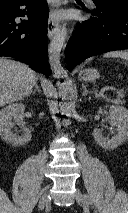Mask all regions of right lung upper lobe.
I'll return each instance as SVG.
<instances>
[{
    "label": "right lung upper lobe",
    "mask_w": 128,
    "mask_h": 213,
    "mask_svg": "<svg viewBox=\"0 0 128 213\" xmlns=\"http://www.w3.org/2000/svg\"><path fill=\"white\" fill-rule=\"evenodd\" d=\"M15 0H0V4H3V3H10V2H13Z\"/></svg>",
    "instance_id": "right-lung-upper-lobe-1"
}]
</instances>
